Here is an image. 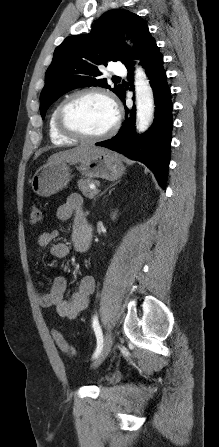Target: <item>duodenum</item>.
I'll list each match as a JSON object with an SVG mask.
<instances>
[{
	"label": "duodenum",
	"mask_w": 219,
	"mask_h": 447,
	"mask_svg": "<svg viewBox=\"0 0 219 447\" xmlns=\"http://www.w3.org/2000/svg\"><path fill=\"white\" fill-rule=\"evenodd\" d=\"M83 234H84V243L82 245V252H85L89 248L90 239L92 236V227L88 224L86 219L83 222Z\"/></svg>",
	"instance_id": "1"
}]
</instances>
